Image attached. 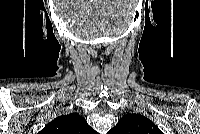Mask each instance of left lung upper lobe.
I'll return each instance as SVG.
<instances>
[{
	"label": "left lung upper lobe",
	"mask_w": 200,
	"mask_h": 134,
	"mask_svg": "<svg viewBox=\"0 0 200 134\" xmlns=\"http://www.w3.org/2000/svg\"><path fill=\"white\" fill-rule=\"evenodd\" d=\"M109 134H162V132L147 117L132 113L123 116Z\"/></svg>",
	"instance_id": "5c2ea615"
}]
</instances>
